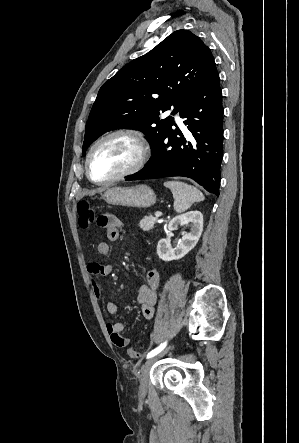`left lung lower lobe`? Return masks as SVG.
<instances>
[{
  "instance_id": "obj_1",
  "label": "left lung lower lobe",
  "mask_w": 299,
  "mask_h": 443,
  "mask_svg": "<svg viewBox=\"0 0 299 443\" xmlns=\"http://www.w3.org/2000/svg\"><path fill=\"white\" fill-rule=\"evenodd\" d=\"M179 115L190 131L185 136L172 123L146 166L126 180L183 176L219 195L223 141V106L216 67L185 101ZM175 125L176 129H172Z\"/></svg>"
}]
</instances>
